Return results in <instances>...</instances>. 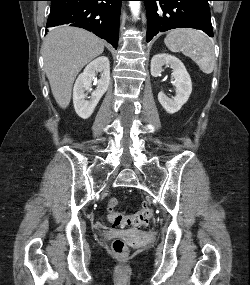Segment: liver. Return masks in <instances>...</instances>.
<instances>
[{
	"instance_id": "obj_1",
	"label": "liver",
	"mask_w": 250,
	"mask_h": 285,
	"mask_svg": "<svg viewBox=\"0 0 250 285\" xmlns=\"http://www.w3.org/2000/svg\"><path fill=\"white\" fill-rule=\"evenodd\" d=\"M104 41L84 29L68 25L52 29L43 44L44 68L52 94L61 108L71 99L81 69L104 51Z\"/></svg>"
}]
</instances>
